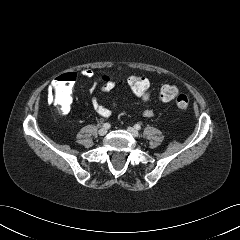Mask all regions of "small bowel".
<instances>
[{
	"mask_svg": "<svg viewBox=\"0 0 240 240\" xmlns=\"http://www.w3.org/2000/svg\"><path fill=\"white\" fill-rule=\"evenodd\" d=\"M81 74L87 78H94V80L89 88V93L91 95H94V94L97 95L99 93H108V92L114 90L115 88L129 92L126 87L125 80L117 81L115 79L105 77L104 83L100 87L99 86L100 79H98L94 76V72L91 69H83L81 71ZM96 95L93 96V98L91 100L92 108L98 115H100L102 117H109L112 114L114 108L116 107V103H113L111 106H105L100 103V101ZM129 95L131 97L133 96L130 92H129ZM143 103H146V101H143ZM142 116L145 118H151L154 116V110L150 107H147L142 111Z\"/></svg>",
	"mask_w": 240,
	"mask_h": 240,
	"instance_id": "obj_1",
	"label": "small bowel"
}]
</instances>
